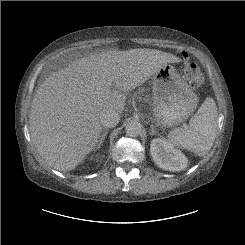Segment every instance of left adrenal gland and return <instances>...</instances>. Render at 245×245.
I'll use <instances>...</instances> for the list:
<instances>
[{"label": "left adrenal gland", "instance_id": "left-adrenal-gland-1", "mask_svg": "<svg viewBox=\"0 0 245 245\" xmlns=\"http://www.w3.org/2000/svg\"><path fill=\"white\" fill-rule=\"evenodd\" d=\"M156 134H157V131L155 130V126L154 125H151L150 135H156Z\"/></svg>", "mask_w": 245, "mask_h": 245}]
</instances>
